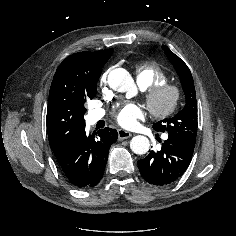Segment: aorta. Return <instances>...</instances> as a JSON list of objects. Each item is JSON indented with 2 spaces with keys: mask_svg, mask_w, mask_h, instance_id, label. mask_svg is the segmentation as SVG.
Segmentation results:
<instances>
[{
  "mask_svg": "<svg viewBox=\"0 0 236 236\" xmlns=\"http://www.w3.org/2000/svg\"><path fill=\"white\" fill-rule=\"evenodd\" d=\"M109 85L118 92H126L127 97H132L136 93L134 81L125 69H116L109 75ZM150 147L149 139L142 135L133 137L130 141L131 150L138 155L148 152Z\"/></svg>",
  "mask_w": 236,
  "mask_h": 236,
  "instance_id": "obj_1",
  "label": "aorta"
}]
</instances>
